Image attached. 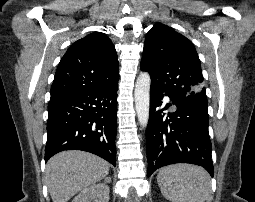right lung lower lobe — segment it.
Masks as SVG:
<instances>
[{
    "label": "right lung lower lobe",
    "instance_id": "right-lung-lower-lobe-1",
    "mask_svg": "<svg viewBox=\"0 0 255 202\" xmlns=\"http://www.w3.org/2000/svg\"><path fill=\"white\" fill-rule=\"evenodd\" d=\"M118 82L98 90L51 99L45 160L63 150H84L116 166Z\"/></svg>",
    "mask_w": 255,
    "mask_h": 202
}]
</instances>
